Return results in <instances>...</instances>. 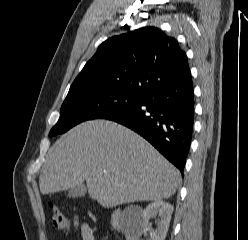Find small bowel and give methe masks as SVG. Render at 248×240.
Segmentation results:
<instances>
[{
	"label": "small bowel",
	"instance_id": "1",
	"mask_svg": "<svg viewBox=\"0 0 248 240\" xmlns=\"http://www.w3.org/2000/svg\"><path fill=\"white\" fill-rule=\"evenodd\" d=\"M74 225L81 235L82 240H95L93 229L86 223H80L77 219Z\"/></svg>",
	"mask_w": 248,
	"mask_h": 240
}]
</instances>
